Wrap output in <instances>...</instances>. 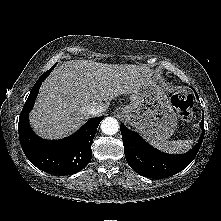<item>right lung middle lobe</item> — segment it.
Instances as JSON below:
<instances>
[{
	"label": "right lung middle lobe",
	"instance_id": "dd1d6c3e",
	"mask_svg": "<svg viewBox=\"0 0 221 221\" xmlns=\"http://www.w3.org/2000/svg\"><path fill=\"white\" fill-rule=\"evenodd\" d=\"M56 65V64H55ZM55 65L50 69V70H48L49 72L55 67Z\"/></svg>",
	"mask_w": 221,
	"mask_h": 221
}]
</instances>
